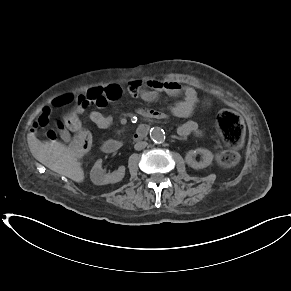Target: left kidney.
<instances>
[{
  "mask_svg": "<svg viewBox=\"0 0 291 291\" xmlns=\"http://www.w3.org/2000/svg\"><path fill=\"white\" fill-rule=\"evenodd\" d=\"M196 154H202L203 160L200 162L195 161L194 156ZM212 160H213V154L209 150L203 149V148L190 150L186 153V156H185V161L188 164V166L196 170L206 168L207 166L211 164Z\"/></svg>",
  "mask_w": 291,
  "mask_h": 291,
  "instance_id": "5707ae66",
  "label": "left kidney"
}]
</instances>
